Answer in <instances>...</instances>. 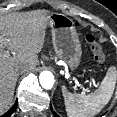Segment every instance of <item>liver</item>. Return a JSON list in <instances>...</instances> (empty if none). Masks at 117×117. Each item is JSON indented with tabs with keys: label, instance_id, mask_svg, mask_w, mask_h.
Instances as JSON below:
<instances>
[{
	"label": "liver",
	"instance_id": "1",
	"mask_svg": "<svg viewBox=\"0 0 117 117\" xmlns=\"http://www.w3.org/2000/svg\"><path fill=\"white\" fill-rule=\"evenodd\" d=\"M49 11L11 13L0 17V115L9 108L13 96L18 69L33 70L44 44L45 27ZM15 52L5 56L4 49Z\"/></svg>",
	"mask_w": 117,
	"mask_h": 117
}]
</instances>
